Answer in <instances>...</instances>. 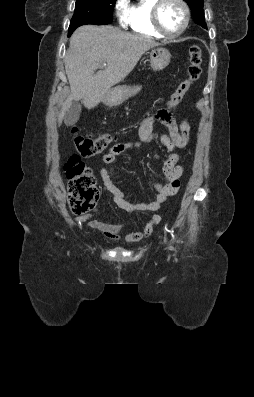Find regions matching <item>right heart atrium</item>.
Instances as JSON below:
<instances>
[{"instance_id": "obj_1", "label": "right heart atrium", "mask_w": 254, "mask_h": 397, "mask_svg": "<svg viewBox=\"0 0 254 397\" xmlns=\"http://www.w3.org/2000/svg\"><path fill=\"white\" fill-rule=\"evenodd\" d=\"M114 8L119 24L121 26L128 25L130 15L129 0H116Z\"/></svg>"}]
</instances>
